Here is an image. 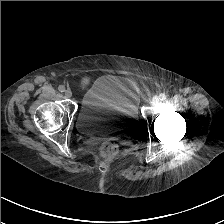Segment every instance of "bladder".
Listing matches in <instances>:
<instances>
[{
  "instance_id": "1",
  "label": "bladder",
  "mask_w": 224,
  "mask_h": 224,
  "mask_svg": "<svg viewBox=\"0 0 224 224\" xmlns=\"http://www.w3.org/2000/svg\"><path fill=\"white\" fill-rule=\"evenodd\" d=\"M139 124L135 95L115 75H102L84 92L76 116L82 135L127 138Z\"/></svg>"
}]
</instances>
